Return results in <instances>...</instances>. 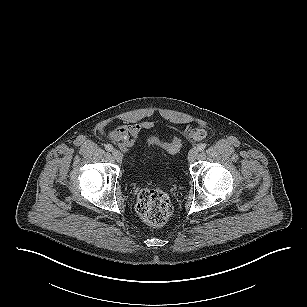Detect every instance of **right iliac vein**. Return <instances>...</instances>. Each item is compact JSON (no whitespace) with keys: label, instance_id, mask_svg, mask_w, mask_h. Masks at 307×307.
<instances>
[{"label":"right iliac vein","instance_id":"1","mask_svg":"<svg viewBox=\"0 0 307 307\" xmlns=\"http://www.w3.org/2000/svg\"><path fill=\"white\" fill-rule=\"evenodd\" d=\"M112 155L117 160V162H119V163L122 162L123 155L119 150L114 149L112 151Z\"/></svg>","mask_w":307,"mask_h":307}]
</instances>
